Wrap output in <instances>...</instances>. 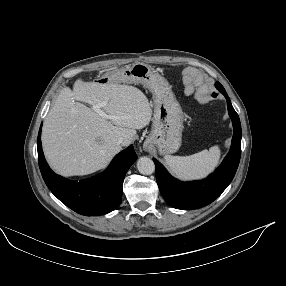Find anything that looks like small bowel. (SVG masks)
Listing matches in <instances>:
<instances>
[{
  "label": "small bowel",
  "instance_id": "1",
  "mask_svg": "<svg viewBox=\"0 0 286 286\" xmlns=\"http://www.w3.org/2000/svg\"><path fill=\"white\" fill-rule=\"evenodd\" d=\"M186 75L192 77L193 80H198L202 78V76L198 72L192 69L187 70ZM187 85L190 86V89L187 91V93H190L192 91V85L191 83H188Z\"/></svg>",
  "mask_w": 286,
  "mask_h": 286
}]
</instances>
